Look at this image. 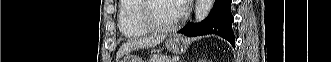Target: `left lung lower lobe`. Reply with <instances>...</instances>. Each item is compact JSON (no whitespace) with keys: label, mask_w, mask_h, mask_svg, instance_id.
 <instances>
[{"label":"left lung lower lobe","mask_w":331,"mask_h":62,"mask_svg":"<svg viewBox=\"0 0 331 62\" xmlns=\"http://www.w3.org/2000/svg\"><path fill=\"white\" fill-rule=\"evenodd\" d=\"M233 19L231 0H215L213 8L205 20L195 24L190 22L179 30L178 33L189 37L216 34L225 38L234 46L235 36L232 31Z\"/></svg>","instance_id":"obj_1"}]
</instances>
